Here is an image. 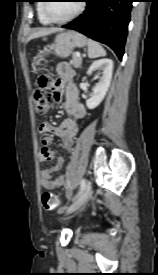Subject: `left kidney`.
<instances>
[{"instance_id":"obj_1","label":"left kidney","mask_w":158,"mask_h":275,"mask_svg":"<svg viewBox=\"0 0 158 275\" xmlns=\"http://www.w3.org/2000/svg\"><path fill=\"white\" fill-rule=\"evenodd\" d=\"M95 70L102 71V76L100 77L99 82L96 83L90 99L86 101V106L89 109L96 108L104 99L112 78L113 61L108 58L94 61L89 67L87 74L90 75Z\"/></svg>"}]
</instances>
